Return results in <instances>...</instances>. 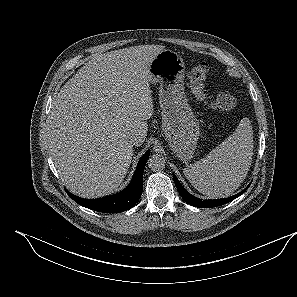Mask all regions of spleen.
I'll list each match as a JSON object with an SVG mask.
<instances>
[{
    "label": "spleen",
    "mask_w": 297,
    "mask_h": 297,
    "mask_svg": "<svg viewBox=\"0 0 297 297\" xmlns=\"http://www.w3.org/2000/svg\"><path fill=\"white\" fill-rule=\"evenodd\" d=\"M253 156V130L243 118L234 133L207 156L183 169L194 188L209 197H227L244 181Z\"/></svg>",
    "instance_id": "3e777b00"
}]
</instances>
